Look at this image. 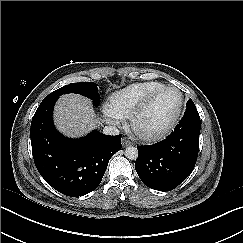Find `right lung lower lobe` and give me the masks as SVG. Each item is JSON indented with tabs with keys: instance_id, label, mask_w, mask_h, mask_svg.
Instances as JSON below:
<instances>
[{
	"instance_id": "obj_1",
	"label": "right lung lower lobe",
	"mask_w": 243,
	"mask_h": 243,
	"mask_svg": "<svg viewBox=\"0 0 243 243\" xmlns=\"http://www.w3.org/2000/svg\"><path fill=\"white\" fill-rule=\"evenodd\" d=\"M57 99H44L33 116L30 136L34 163L51 187L79 197L99 186L110 158L121 149V135L93 131L80 139L64 137L52 120Z\"/></svg>"
}]
</instances>
